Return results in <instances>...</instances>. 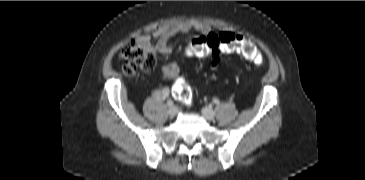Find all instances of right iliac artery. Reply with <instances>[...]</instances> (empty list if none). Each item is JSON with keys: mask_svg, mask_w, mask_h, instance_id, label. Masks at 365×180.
Instances as JSON below:
<instances>
[{"mask_svg": "<svg viewBox=\"0 0 365 180\" xmlns=\"http://www.w3.org/2000/svg\"><path fill=\"white\" fill-rule=\"evenodd\" d=\"M173 104H174V103H173V101H172V100H168V101H167V105H168V106H170V107H171V106H173Z\"/></svg>", "mask_w": 365, "mask_h": 180, "instance_id": "right-iliac-artery-1", "label": "right iliac artery"}]
</instances>
